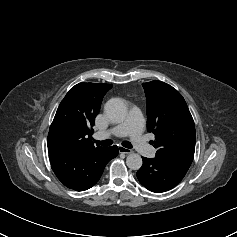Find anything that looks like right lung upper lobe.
Returning a JSON list of instances; mask_svg holds the SVG:
<instances>
[{"label": "right lung upper lobe", "mask_w": 237, "mask_h": 237, "mask_svg": "<svg viewBox=\"0 0 237 237\" xmlns=\"http://www.w3.org/2000/svg\"><path fill=\"white\" fill-rule=\"evenodd\" d=\"M111 84L79 83L61 101L50 126L47 146L76 154L99 148L91 141L94 119L99 113L103 96Z\"/></svg>", "instance_id": "cb5924a9"}]
</instances>
